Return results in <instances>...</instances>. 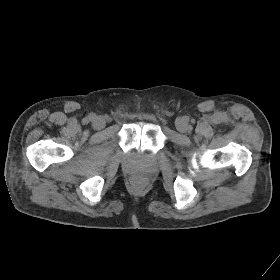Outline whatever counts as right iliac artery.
<instances>
[{
    "label": "right iliac artery",
    "mask_w": 280,
    "mask_h": 280,
    "mask_svg": "<svg viewBox=\"0 0 280 280\" xmlns=\"http://www.w3.org/2000/svg\"><path fill=\"white\" fill-rule=\"evenodd\" d=\"M94 119V115H89L88 117H86L83 122L88 123L89 121H92Z\"/></svg>",
    "instance_id": "82829eb1"
}]
</instances>
